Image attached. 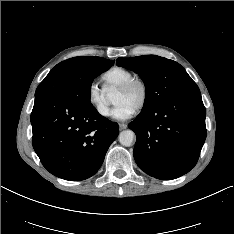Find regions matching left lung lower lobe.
Here are the masks:
<instances>
[{
	"label": "left lung lower lobe",
	"instance_id": "left-lung-lower-lobe-1",
	"mask_svg": "<svg viewBox=\"0 0 234 234\" xmlns=\"http://www.w3.org/2000/svg\"><path fill=\"white\" fill-rule=\"evenodd\" d=\"M206 110L196 84L140 112L128 124L137 140L134 159L148 175L161 180L178 178L197 163L204 141Z\"/></svg>",
	"mask_w": 234,
	"mask_h": 234
}]
</instances>
